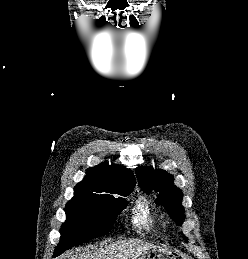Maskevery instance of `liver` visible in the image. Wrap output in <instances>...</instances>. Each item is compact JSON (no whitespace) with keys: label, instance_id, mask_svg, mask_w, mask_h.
<instances>
[{"label":"liver","instance_id":"obj_1","mask_svg":"<svg viewBox=\"0 0 248 259\" xmlns=\"http://www.w3.org/2000/svg\"><path fill=\"white\" fill-rule=\"evenodd\" d=\"M153 246L141 240H121L83 252H70L60 259H136L142 252Z\"/></svg>","mask_w":248,"mask_h":259}]
</instances>
